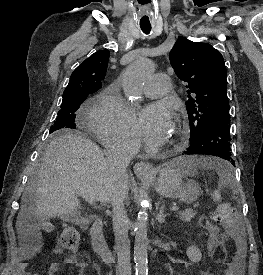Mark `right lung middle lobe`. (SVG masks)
Instances as JSON below:
<instances>
[{"instance_id": "obj_1", "label": "right lung middle lobe", "mask_w": 263, "mask_h": 275, "mask_svg": "<svg viewBox=\"0 0 263 275\" xmlns=\"http://www.w3.org/2000/svg\"><path fill=\"white\" fill-rule=\"evenodd\" d=\"M87 95V92H77L63 96L61 108L54 125L50 128V133L62 129L76 128V124L74 123L76 117L75 112L83 103Z\"/></svg>"}]
</instances>
